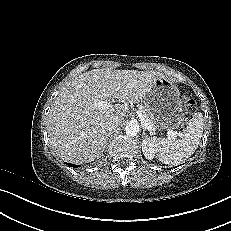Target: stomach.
<instances>
[{
    "instance_id": "0dacf381",
    "label": "stomach",
    "mask_w": 231,
    "mask_h": 231,
    "mask_svg": "<svg viewBox=\"0 0 231 231\" xmlns=\"http://www.w3.org/2000/svg\"><path fill=\"white\" fill-rule=\"evenodd\" d=\"M144 110L157 129H176L185 120L178 88L167 78L157 79L143 98Z\"/></svg>"
}]
</instances>
